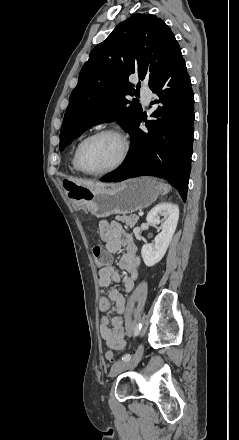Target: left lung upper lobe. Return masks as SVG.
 <instances>
[{
    "label": "left lung upper lobe",
    "instance_id": "1",
    "mask_svg": "<svg viewBox=\"0 0 239 440\" xmlns=\"http://www.w3.org/2000/svg\"><path fill=\"white\" fill-rule=\"evenodd\" d=\"M174 34L162 19L134 14L95 46L72 91L60 132V151L94 124L118 120L128 132L142 115L129 76L149 85L160 74L174 45ZM139 90L140 85L138 84ZM133 104V105H129Z\"/></svg>",
    "mask_w": 239,
    "mask_h": 440
}]
</instances>
